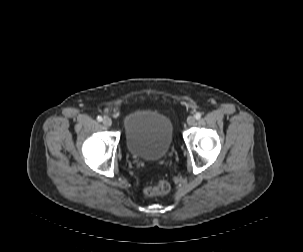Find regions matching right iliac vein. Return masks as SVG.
<instances>
[{
  "instance_id": "1",
  "label": "right iliac vein",
  "mask_w": 303,
  "mask_h": 252,
  "mask_svg": "<svg viewBox=\"0 0 303 252\" xmlns=\"http://www.w3.org/2000/svg\"><path fill=\"white\" fill-rule=\"evenodd\" d=\"M102 123L106 127H110L112 125V120L109 117H106L102 120Z\"/></svg>"
}]
</instances>
